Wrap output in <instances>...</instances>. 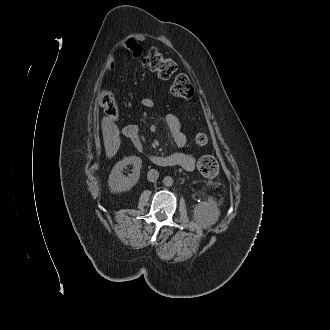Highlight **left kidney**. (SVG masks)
Returning <instances> with one entry per match:
<instances>
[{
    "label": "left kidney",
    "mask_w": 330,
    "mask_h": 330,
    "mask_svg": "<svg viewBox=\"0 0 330 330\" xmlns=\"http://www.w3.org/2000/svg\"><path fill=\"white\" fill-rule=\"evenodd\" d=\"M193 213L196 223L205 229L214 225L220 216V210L212 199L197 204Z\"/></svg>",
    "instance_id": "left-kidney-1"
}]
</instances>
